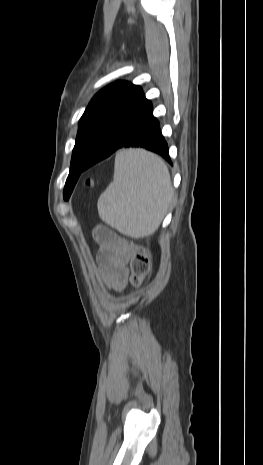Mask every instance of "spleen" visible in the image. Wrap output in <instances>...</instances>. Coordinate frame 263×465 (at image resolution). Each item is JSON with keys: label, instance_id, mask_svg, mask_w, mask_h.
<instances>
[{"label": "spleen", "instance_id": "spleen-1", "mask_svg": "<svg viewBox=\"0 0 263 465\" xmlns=\"http://www.w3.org/2000/svg\"><path fill=\"white\" fill-rule=\"evenodd\" d=\"M172 190L160 157L141 149L122 150L115 158L113 181L98 199V213L124 235L149 236L159 226Z\"/></svg>", "mask_w": 263, "mask_h": 465}]
</instances>
